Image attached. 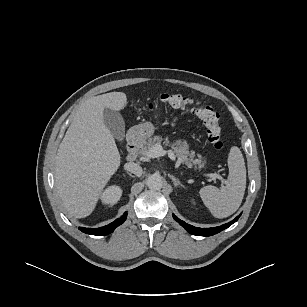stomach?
I'll return each mask as SVG.
<instances>
[{"mask_svg": "<svg viewBox=\"0 0 307 307\" xmlns=\"http://www.w3.org/2000/svg\"><path fill=\"white\" fill-rule=\"evenodd\" d=\"M138 140H145L154 133V126L150 122H145L134 126L131 129Z\"/></svg>", "mask_w": 307, "mask_h": 307, "instance_id": "1", "label": "stomach"}]
</instances>
